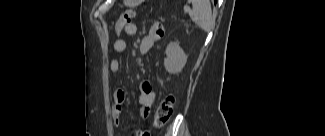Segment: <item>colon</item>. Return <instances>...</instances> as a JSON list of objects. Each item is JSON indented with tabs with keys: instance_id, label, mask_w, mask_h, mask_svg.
Masks as SVG:
<instances>
[{
	"instance_id": "1",
	"label": "colon",
	"mask_w": 325,
	"mask_h": 136,
	"mask_svg": "<svg viewBox=\"0 0 325 136\" xmlns=\"http://www.w3.org/2000/svg\"><path fill=\"white\" fill-rule=\"evenodd\" d=\"M136 15L135 10L130 9L125 11L121 14L119 19L116 22L115 31L117 34H120L124 28L132 23ZM174 110V98L173 96L169 95L163 98L156 109V113L154 116L153 126L155 128H161L165 124H167L172 115Z\"/></svg>"
}]
</instances>
